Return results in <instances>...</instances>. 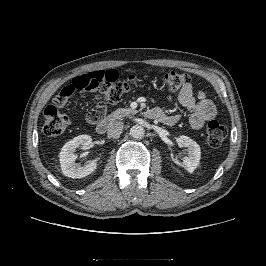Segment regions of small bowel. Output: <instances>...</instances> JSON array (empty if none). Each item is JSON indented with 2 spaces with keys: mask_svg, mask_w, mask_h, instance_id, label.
Here are the masks:
<instances>
[{
  "mask_svg": "<svg viewBox=\"0 0 266 266\" xmlns=\"http://www.w3.org/2000/svg\"><path fill=\"white\" fill-rule=\"evenodd\" d=\"M178 102L190 112L189 125L195 130L201 129L206 121L214 118L216 115L215 105L206 97L204 91L199 90L194 92L190 84L180 90ZM91 111H104V106L99 103L96 108ZM179 120V115H166L163 122L167 125H175Z\"/></svg>",
  "mask_w": 266,
  "mask_h": 266,
  "instance_id": "1",
  "label": "small bowel"
}]
</instances>
